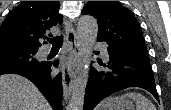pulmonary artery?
<instances>
[{
    "mask_svg": "<svg viewBox=\"0 0 171 110\" xmlns=\"http://www.w3.org/2000/svg\"><path fill=\"white\" fill-rule=\"evenodd\" d=\"M95 43H96V46L101 50L103 58L108 59L109 55H108L106 47L99 42H95Z\"/></svg>",
    "mask_w": 171,
    "mask_h": 110,
    "instance_id": "pulmonary-artery-1",
    "label": "pulmonary artery"
}]
</instances>
